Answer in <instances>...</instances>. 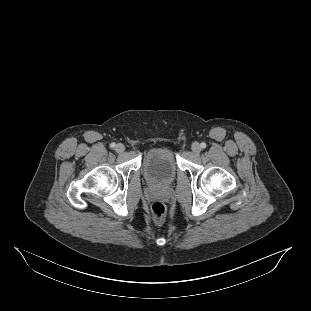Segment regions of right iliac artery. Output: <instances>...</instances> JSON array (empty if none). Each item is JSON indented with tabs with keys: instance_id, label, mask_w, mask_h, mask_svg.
<instances>
[{
	"instance_id": "1",
	"label": "right iliac artery",
	"mask_w": 311,
	"mask_h": 311,
	"mask_svg": "<svg viewBox=\"0 0 311 311\" xmlns=\"http://www.w3.org/2000/svg\"><path fill=\"white\" fill-rule=\"evenodd\" d=\"M110 147H111V148H115V147H116V144H115V143H111V144H110Z\"/></svg>"
}]
</instances>
